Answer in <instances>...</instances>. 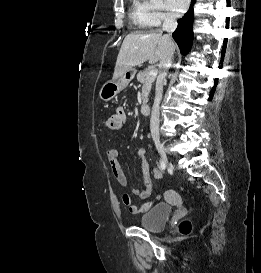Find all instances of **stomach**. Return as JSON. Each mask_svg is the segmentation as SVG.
<instances>
[{"label":"stomach","mask_w":261,"mask_h":273,"mask_svg":"<svg viewBox=\"0 0 261 273\" xmlns=\"http://www.w3.org/2000/svg\"><path fill=\"white\" fill-rule=\"evenodd\" d=\"M134 76L135 70L130 69L118 79L107 81L99 91V98L103 101H110L129 84Z\"/></svg>","instance_id":"stomach-1"}]
</instances>
